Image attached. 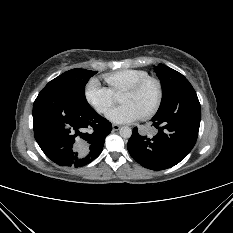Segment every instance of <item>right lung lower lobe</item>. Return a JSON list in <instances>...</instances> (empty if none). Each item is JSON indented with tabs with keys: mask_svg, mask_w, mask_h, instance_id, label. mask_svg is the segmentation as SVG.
Instances as JSON below:
<instances>
[{
	"mask_svg": "<svg viewBox=\"0 0 233 233\" xmlns=\"http://www.w3.org/2000/svg\"><path fill=\"white\" fill-rule=\"evenodd\" d=\"M34 136L45 155L60 166H84L102 152L111 123L62 91L44 88L33 105Z\"/></svg>",
	"mask_w": 233,
	"mask_h": 233,
	"instance_id": "1",
	"label": "right lung lower lobe"
}]
</instances>
